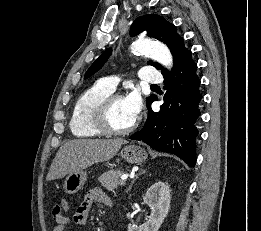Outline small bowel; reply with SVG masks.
<instances>
[{
  "instance_id": "obj_1",
  "label": "small bowel",
  "mask_w": 261,
  "mask_h": 231,
  "mask_svg": "<svg viewBox=\"0 0 261 231\" xmlns=\"http://www.w3.org/2000/svg\"><path fill=\"white\" fill-rule=\"evenodd\" d=\"M94 204L111 206L112 201L100 189H93L86 195L71 218L63 214V207L60 205L55 206L52 214L55 222L53 231H66L72 227L84 226L88 221L89 213Z\"/></svg>"
}]
</instances>
